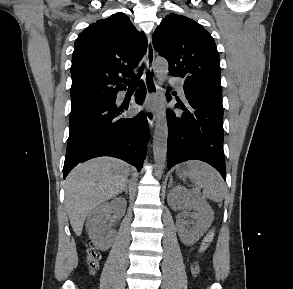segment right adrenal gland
Instances as JSON below:
<instances>
[{
  "mask_svg": "<svg viewBox=\"0 0 293 289\" xmlns=\"http://www.w3.org/2000/svg\"><path fill=\"white\" fill-rule=\"evenodd\" d=\"M122 192H125L126 194H128V187L127 186H125V188L123 189V191ZM121 192V193H122Z\"/></svg>",
  "mask_w": 293,
  "mask_h": 289,
  "instance_id": "obj_1",
  "label": "right adrenal gland"
}]
</instances>
